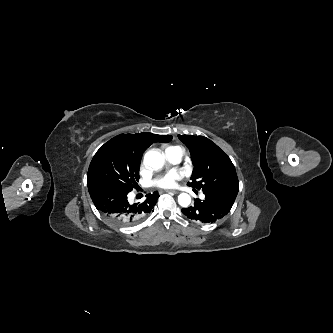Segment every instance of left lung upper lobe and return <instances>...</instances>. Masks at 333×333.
Here are the masks:
<instances>
[{"label": "left lung upper lobe", "mask_w": 333, "mask_h": 333, "mask_svg": "<svg viewBox=\"0 0 333 333\" xmlns=\"http://www.w3.org/2000/svg\"><path fill=\"white\" fill-rule=\"evenodd\" d=\"M189 148L194 166L188 186L204 194L236 197L239 181L230 158L204 136L178 135Z\"/></svg>", "instance_id": "1"}]
</instances>
